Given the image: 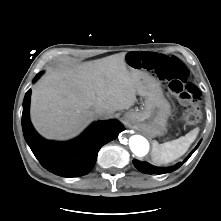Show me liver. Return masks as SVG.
<instances>
[{"label":"liver","mask_w":221,"mask_h":221,"mask_svg":"<svg viewBox=\"0 0 221 221\" xmlns=\"http://www.w3.org/2000/svg\"><path fill=\"white\" fill-rule=\"evenodd\" d=\"M125 55L45 74L32 90L30 114L36 130L47 139L65 140L96 118L97 109L110 118L116 111L132 107L141 73L127 69Z\"/></svg>","instance_id":"6515ba94"}]
</instances>
